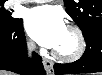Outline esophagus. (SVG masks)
<instances>
[{
	"label": "esophagus",
	"instance_id": "obj_1",
	"mask_svg": "<svg viewBox=\"0 0 102 75\" xmlns=\"http://www.w3.org/2000/svg\"><path fill=\"white\" fill-rule=\"evenodd\" d=\"M43 65L48 75L54 74L53 61L43 58Z\"/></svg>",
	"mask_w": 102,
	"mask_h": 75
}]
</instances>
